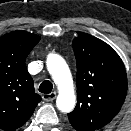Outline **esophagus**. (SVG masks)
Returning <instances> with one entry per match:
<instances>
[{"label":"esophagus","instance_id":"esophagus-1","mask_svg":"<svg viewBox=\"0 0 131 131\" xmlns=\"http://www.w3.org/2000/svg\"><path fill=\"white\" fill-rule=\"evenodd\" d=\"M56 96H57V93L56 92H52L50 94H44L42 96V98H43L44 101L51 102V101H53L56 98Z\"/></svg>","mask_w":131,"mask_h":131}]
</instances>
